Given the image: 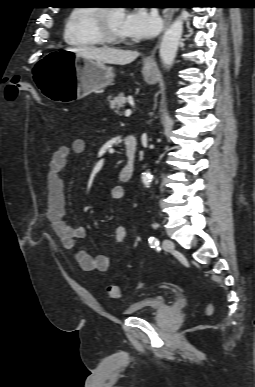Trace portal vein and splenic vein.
Here are the masks:
<instances>
[{
    "label": "portal vein and splenic vein",
    "mask_w": 255,
    "mask_h": 387,
    "mask_svg": "<svg viewBox=\"0 0 255 387\" xmlns=\"http://www.w3.org/2000/svg\"><path fill=\"white\" fill-rule=\"evenodd\" d=\"M132 114V111H131V109H127L126 111H125V116H130Z\"/></svg>",
    "instance_id": "18ae733b"
}]
</instances>
